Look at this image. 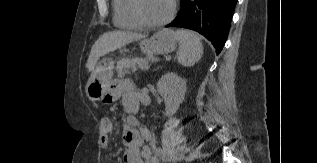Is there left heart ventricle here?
I'll list each match as a JSON object with an SVG mask.
<instances>
[{"label":"left heart ventricle","mask_w":317,"mask_h":163,"mask_svg":"<svg viewBox=\"0 0 317 163\" xmlns=\"http://www.w3.org/2000/svg\"><path fill=\"white\" fill-rule=\"evenodd\" d=\"M172 0H141V10L144 17L157 22L168 16L171 10Z\"/></svg>","instance_id":"b2bd125f"}]
</instances>
